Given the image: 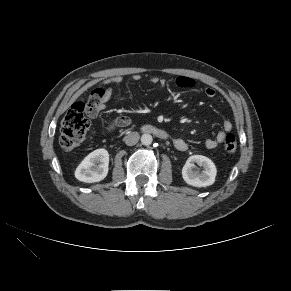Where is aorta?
Segmentation results:
<instances>
[{
  "mask_svg": "<svg viewBox=\"0 0 291 291\" xmlns=\"http://www.w3.org/2000/svg\"><path fill=\"white\" fill-rule=\"evenodd\" d=\"M153 138L150 134H143L141 136V143L145 146H148L152 143Z\"/></svg>",
  "mask_w": 291,
  "mask_h": 291,
  "instance_id": "aorta-1",
  "label": "aorta"
}]
</instances>
